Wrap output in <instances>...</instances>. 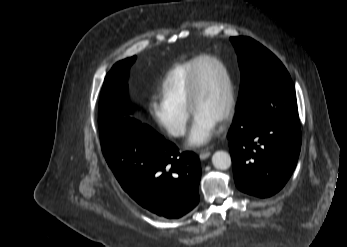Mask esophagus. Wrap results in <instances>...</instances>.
Segmentation results:
<instances>
[{
    "label": "esophagus",
    "mask_w": 347,
    "mask_h": 247,
    "mask_svg": "<svg viewBox=\"0 0 347 247\" xmlns=\"http://www.w3.org/2000/svg\"><path fill=\"white\" fill-rule=\"evenodd\" d=\"M210 154L211 153H210V151L208 149H203L199 153V158L201 160H205V159H207L210 156Z\"/></svg>",
    "instance_id": "esophagus-1"
}]
</instances>
